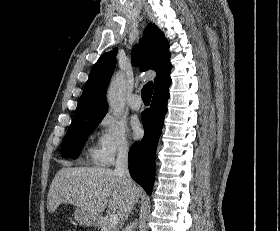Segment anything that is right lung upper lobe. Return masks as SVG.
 <instances>
[{"instance_id":"obj_1","label":"right lung upper lobe","mask_w":280,"mask_h":231,"mask_svg":"<svg viewBox=\"0 0 280 231\" xmlns=\"http://www.w3.org/2000/svg\"><path fill=\"white\" fill-rule=\"evenodd\" d=\"M168 49L169 44L163 32L150 23L146 26L139 45H135L131 53L133 64L140 66L142 71H156L154 94L168 90L171 84L172 65ZM116 52L117 49L104 53L92 67L71 125L102 120L105 116L108 106L105 93L116 64Z\"/></svg>"}]
</instances>
